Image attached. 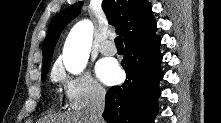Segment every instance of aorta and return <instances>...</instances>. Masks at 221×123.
Wrapping results in <instances>:
<instances>
[{
    "label": "aorta",
    "mask_w": 221,
    "mask_h": 123,
    "mask_svg": "<svg viewBox=\"0 0 221 123\" xmlns=\"http://www.w3.org/2000/svg\"><path fill=\"white\" fill-rule=\"evenodd\" d=\"M93 40V24L89 20L76 23L64 44L63 64L73 74L81 73L88 62Z\"/></svg>",
    "instance_id": "aorta-1"
}]
</instances>
